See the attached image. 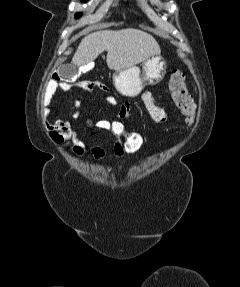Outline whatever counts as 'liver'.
Segmentation results:
<instances>
[{
	"mask_svg": "<svg viewBox=\"0 0 240 287\" xmlns=\"http://www.w3.org/2000/svg\"><path fill=\"white\" fill-rule=\"evenodd\" d=\"M104 51H107L109 69L120 71L160 54L161 49L152 35L139 29L103 30L81 40L72 63L77 67L86 66Z\"/></svg>",
	"mask_w": 240,
	"mask_h": 287,
	"instance_id": "6515ba94",
	"label": "liver"
}]
</instances>
